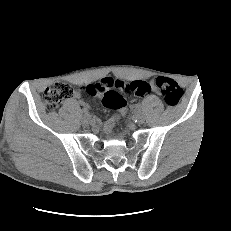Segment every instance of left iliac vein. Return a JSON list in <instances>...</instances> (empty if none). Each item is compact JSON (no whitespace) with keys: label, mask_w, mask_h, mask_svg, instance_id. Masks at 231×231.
Here are the masks:
<instances>
[{"label":"left iliac vein","mask_w":231,"mask_h":231,"mask_svg":"<svg viewBox=\"0 0 231 231\" xmlns=\"http://www.w3.org/2000/svg\"><path fill=\"white\" fill-rule=\"evenodd\" d=\"M136 120L138 123H143L145 121V116L139 112L136 114Z\"/></svg>","instance_id":"obj_1"}]
</instances>
